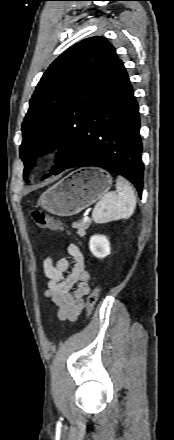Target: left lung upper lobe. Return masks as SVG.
Wrapping results in <instances>:
<instances>
[{
    "label": "left lung upper lobe",
    "instance_id": "1",
    "mask_svg": "<svg viewBox=\"0 0 174 440\" xmlns=\"http://www.w3.org/2000/svg\"><path fill=\"white\" fill-rule=\"evenodd\" d=\"M118 62L115 48L104 37L94 36L76 43L49 66L22 124L20 157L26 181L36 157L51 147L61 148L51 174L60 173L77 155L86 117Z\"/></svg>",
    "mask_w": 174,
    "mask_h": 440
}]
</instances>
